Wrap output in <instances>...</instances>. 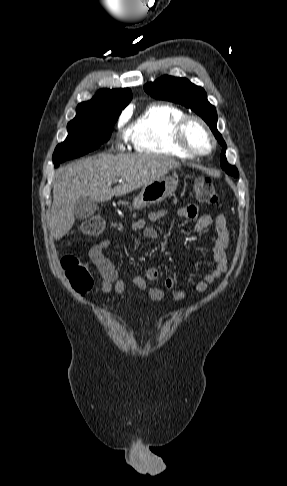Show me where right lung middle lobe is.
<instances>
[{
	"instance_id": "right-lung-middle-lobe-1",
	"label": "right lung middle lobe",
	"mask_w": 287,
	"mask_h": 486,
	"mask_svg": "<svg viewBox=\"0 0 287 486\" xmlns=\"http://www.w3.org/2000/svg\"><path fill=\"white\" fill-rule=\"evenodd\" d=\"M119 114L102 109L76 110L75 118L67 125L66 140L54 151V165L82 156L108 141Z\"/></svg>"
}]
</instances>
